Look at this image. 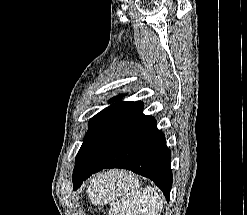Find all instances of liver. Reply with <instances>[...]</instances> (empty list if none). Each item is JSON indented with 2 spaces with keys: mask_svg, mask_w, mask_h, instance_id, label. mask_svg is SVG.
<instances>
[{
  "mask_svg": "<svg viewBox=\"0 0 247 215\" xmlns=\"http://www.w3.org/2000/svg\"><path fill=\"white\" fill-rule=\"evenodd\" d=\"M109 173H115L114 171L113 172H109ZM125 173L124 172H120V176H123Z\"/></svg>",
  "mask_w": 247,
  "mask_h": 215,
  "instance_id": "1",
  "label": "liver"
}]
</instances>
